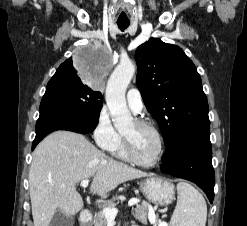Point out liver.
Returning <instances> with one entry per match:
<instances>
[{"label": "liver", "instance_id": "6515ba94", "mask_svg": "<svg viewBox=\"0 0 247 226\" xmlns=\"http://www.w3.org/2000/svg\"><path fill=\"white\" fill-rule=\"evenodd\" d=\"M148 176L108 158L83 135L56 131L33 152L29 191L34 226H49L57 210L67 216L83 208L76 185L93 177L90 192L106 198L119 184Z\"/></svg>", "mask_w": 247, "mask_h": 226}]
</instances>
